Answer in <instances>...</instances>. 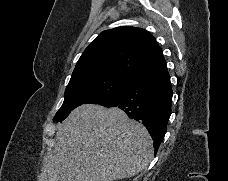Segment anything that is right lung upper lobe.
<instances>
[{
    "label": "right lung upper lobe",
    "mask_w": 228,
    "mask_h": 181,
    "mask_svg": "<svg viewBox=\"0 0 228 181\" xmlns=\"http://www.w3.org/2000/svg\"><path fill=\"white\" fill-rule=\"evenodd\" d=\"M164 61L155 38L146 30L118 27L103 31L85 49L70 81L101 74L133 78Z\"/></svg>",
    "instance_id": "cb5924a9"
}]
</instances>
